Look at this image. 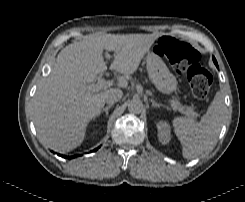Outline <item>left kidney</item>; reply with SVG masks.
<instances>
[{
    "label": "left kidney",
    "mask_w": 245,
    "mask_h": 202,
    "mask_svg": "<svg viewBox=\"0 0 245 202\" xmlns=\"http://www.w3.org/2000/svg\"><path fill=\"white\" fill-rule=\"evenodd\" d=\"M158 139L162 144H168L171 139L170 126L165 121H159L157 123Z\"/></svg>",
    "instance_id": "1"
}]
</instances>
